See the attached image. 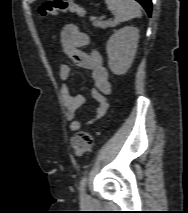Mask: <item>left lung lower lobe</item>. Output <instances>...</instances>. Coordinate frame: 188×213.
Here are the masks:
<instances>
[{
    "instance_id": "0a47b994",
    "label": "left lung lower lobe",
    "mask_w": 188,
    "mask_h": 213,
    "mask_svg": "<svg viewBox=\"0 0 188 213\" xmlns=\"http://www.w3.org/2000/svg\"><path fill=\"white\" fill-rule=\"evenodd\" d=\"M138 1L144 9L147 11L148 15H151L152 1L151 0H136Z\"/></svg>"
}]
</instances>
